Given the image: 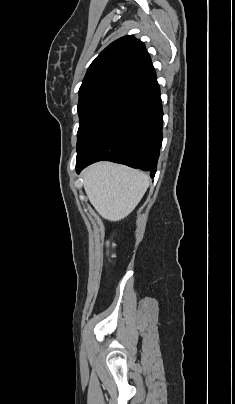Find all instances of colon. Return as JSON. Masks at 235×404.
I'll list each match as a JSON object with an SVG mask.
<instances>
[{"mask_svg":"<svg viewBox=\"0 0 235 404\" xmlns=\"http://www.w3.org/2000/svg\"><path fill=\"white\" fill-rule=\"evenodd\" d=\"M108 247H109V248H112V247H113V244H112V243H108Z\"/></svg>","mask_w":235,"mask_h":404,"instance_id":"1","label":"colon"}]
</instances>
